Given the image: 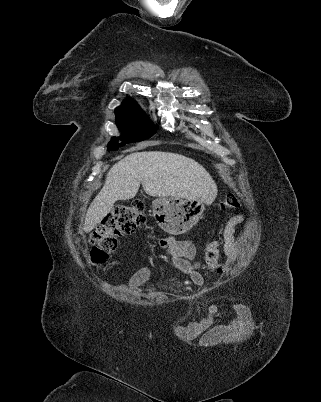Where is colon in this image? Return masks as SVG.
Returning a JSON list of instances; mask_svg holds the SVG:
<instances>
[{
	"label": "colon",
	"instance_id": "1",
	"mask_svg": "<svg viewBox=\"0 0 321 402\" xmlns=\"http://www.w3.org/2000/svg\"><path fill=\"white\" fill-rule=\"evenodd\" d=\"M239 206L236 195L228 194L219 203L222 212ZM146 215L144 206L140 202L116 207L105 217L91 235L90 260L95 265H102L107 262L111 253L118 245V238L131 234L144 226ZM221 256L220 245L217 241H210L205 248V263L209 270L214 271Z\"/></svg>",
	"mask_w": 321,
	"mask_h": 402
}]
</instances>
